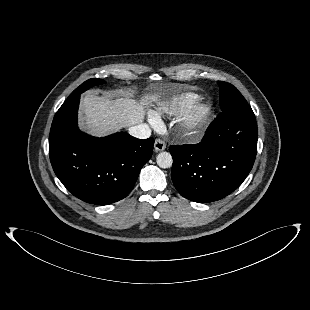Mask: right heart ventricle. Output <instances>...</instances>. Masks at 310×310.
Listing matches in <instances>:
<instances>
[{
  "instance_id": "1",
  "label": "right heart ventricle",
  "mask_w": 310,
  "mask_h": 310,
  "mask_svg": "<svg viewBox=\"0 0 310 310\" xmlns=\"http://www.w3.org/2000/svg\"><path fill=\"white\" fill-rule=\"evenodd\" d=\"M199 100V95L193 92H183L174 95L169 100L163 102L159 107L160 113L177 115L182 113L190 105ZM153 117L157 118L156 115Z\"/></svg>"
}]
</instances>
